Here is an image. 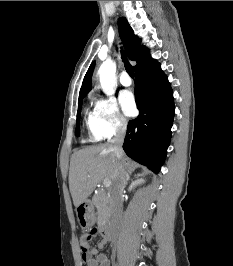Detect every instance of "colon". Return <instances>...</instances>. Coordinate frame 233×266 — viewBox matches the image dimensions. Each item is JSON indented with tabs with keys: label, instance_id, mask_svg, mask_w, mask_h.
Here are the masks:
<instances>
[{
	"label": "colon",
	"instance_id": "colon-1",
	"mask_svg": "<svg viewBox=\"0 0 233 266\" xmlns=\"http://www.w3.org/2000/svg\"><path fill=\"white\" fill-rule=\"evenodd\" d=\"M98 234L97 229H91L88 233L84 234L82 237V240L84 243H88V241L92 240L96 235ZM81 250H82V257H87L88 256V248L85 244L81 245Z\"/></svg>",
	"mask_w": 233,
	"mask_h": 266
}]
</instances>
